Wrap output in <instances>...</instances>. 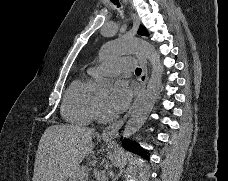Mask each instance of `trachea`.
I'll list each match as a JSON object with an SVG mask.
<instances>
[{"mask_svg":"<svg viewBox=\"0 0 228 181\" xmlns=\"http://www.w3.org/2000/svg\"><path fill=\"white\" fill-rule=\"evenodd\" d=\"M111 2H112L113 4H115L117 7L120 6L119 0H111ZM135 73L140 75V74H141V68H136Z\"/></svg>","mask_w":228,"mask_h":181,"instance_id":"trachea-1","label":"trachea"}]
</instances>
